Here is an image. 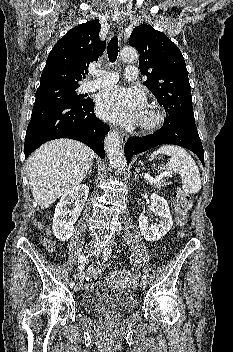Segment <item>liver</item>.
<instances>
[{
    "mask_svg": "<svg viewBox=\"0 0 233 352\" xmlns=\"http://www.w3.org/2000/svg\"><path fill=\"white\" fill-rule=\"evenodd\" d=\"M94 155L88 146L72 139H57L39 147L27 161L29 185L38 205L46 209L78 186Z\"/></svg>",
    "mask_w": 233,
    "mask_h": 352,
    "instance_id": "liver-1",
    "label": "liver"
}]
</instances>
